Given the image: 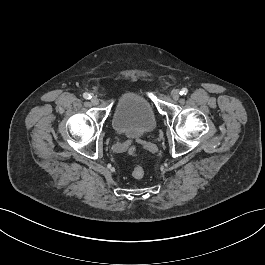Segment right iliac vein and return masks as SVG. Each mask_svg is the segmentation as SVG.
<instances>
[{
	"mask_svg": "<svg viewBox=\"0 0 265 265\" xmlns=\"http://www.w3.org/2000/svg\"><path fill=\"white\" fill-rule=\"evenodd\" d=\"M91 103L93 104V105H98L99 104V99L97 98V97H92L91 98Z\"/></svg>",
	"mask_w": 265,
	"mask_h": 265,
	"instance_id": "obj_1",
	"label": "right iliac vein"
}]
</instances>
